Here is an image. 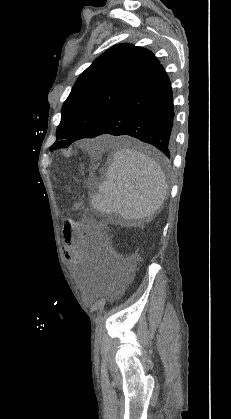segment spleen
Returning <instances> with one entry per match:
<instances>
[{"instance_id": "1", "label": "spleen", "mask_w": 231, "mask_h": 419, "mask_svg": "<svg viewBox=\"0 0 231 419\" xmlns=\"http://www.w3.org/2000/svg\"><path fill=\"white\" fill-rule=\"evenodd\" d=\"M105 176L92 200L94 209L124 219L151 218L161 209L168 185L163 171L149 156L119 149Z\"/></svg>"}]
</instances>
